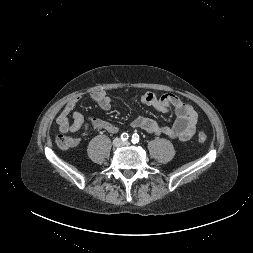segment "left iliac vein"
Segmentation results:
<instances>
[{"mask_svg":"<svg viewBox=\"0 0 253 253\" xmlns=\"http://www.w3.org/2000/svg\"><path fill=\"white\" fill-rule=\"evenodd\" d=\"M122 145H123V146H127V145H129V142H128V141L123 142Z\"/></svg>","mask_w":253,"mask_h":253,"instance_id":"1","label":"left iliac vein"}]
</instances>
